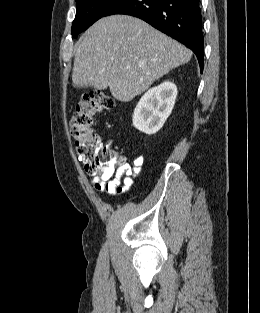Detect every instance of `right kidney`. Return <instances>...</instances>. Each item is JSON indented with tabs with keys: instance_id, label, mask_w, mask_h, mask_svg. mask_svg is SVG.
<instances>
[{
	"instance_id": "right-kidney-1",
	"label": "right kidney",
	"mask_w": 260,
	"mask_h": 313,
	"mask_svg": "<svg viewBox=\"0 0 260 313\" xmlns=\"http://www.w3.org/2000/svg\"><path fill=\"white\" fill-rule=\"evenodd\" d=\"M177 87L171 81L149 89L140 99L133 113V126L152 135L158 132L172 112Z\"/></svg>"
}]
</instances>
